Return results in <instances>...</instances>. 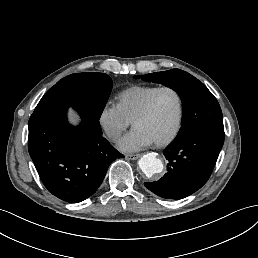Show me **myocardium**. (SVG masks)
Masks as SVG:
<instances>
[{
    "label": "myocardium",
    "mask_w": 258,
    "mask_h": 258,
    "mask_svg": "<svg viewBox=\"0 0 258 258\" xmlns=\"http://www.w3.org/2000/svg\"><path fill=\"white\" fill-rule=\"evenodd\" d=\"M164 91H171L176 95L177 103H178L177 116H176L174 128H173L172 132L170 133V135H168L167 137H157V136H154L153 134L149 133L148 131H146L143 128V124L150 118L152 107H153L156 97ZM182 112H183V103H182V97L179 94V92L171 87H161V88H158L154 92V94L149 98V100L146 104V107L144 108L142 114L138 117V119L136 120L134 125H135V128L142 135H144L151 141H153L157 144H167L175 138V136L177 135V133L179 131V128L181 125V119H182Z\"/></svg>",
    "instance_id": "obj_1"
}]
</instances>
